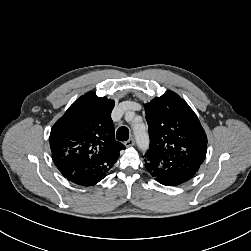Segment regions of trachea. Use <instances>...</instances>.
I'll list each match as a JSON object with an SVG mask.
<instances>
[{"label":"trachea","mask_w":251,"mask_h":251,"mask_svg":"<svg viewBox=\"0 0 251 251\" xmlns=\"http://www.w3.org/2000/svg\"><path fill=\"white\" fill-rule=\"evenodd\" d=\"M116 138L118 141H127L129 138V130L127 127L122 126L116 132Z\"/></svg>","instance_id":"3493384b"}]
</instances>
